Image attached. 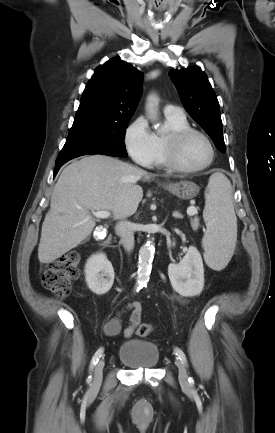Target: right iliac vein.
Listing matches in <instances>:
<instances>
[{
	"label": "right iliac vein",
	"instance_id": "63e3f726",
	"mask_svg": "<svg viewBox=\"0 0 275 433\" xmlns=\"http://www.w3.org/2000/svg\"><path fill=\"white\" fill-rule=\"evenodd\" d=\"M103 368H104V361L100 360L98 364L95 367L94 370V376H93V386L99 387L102 383L103 379Z\"/></svg>",
	"mask_w": 275,
	"mask_h": 433
}]
</instances>
